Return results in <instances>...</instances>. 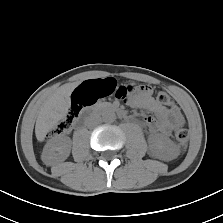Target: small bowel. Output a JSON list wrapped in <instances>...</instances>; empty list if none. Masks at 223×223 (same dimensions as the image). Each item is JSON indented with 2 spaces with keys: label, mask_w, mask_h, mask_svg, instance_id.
<instances>
[{
  "label": "small bowel",
  "mask_w": 223,
  "mask_h": 223,
  "mask_svg": "<svg viewBox=\"0 0 223 223\" xmlns=\"http://www.w3.org/2000/svg\"><path fill=\"white\" fill-rule=\"evenodd\" d=\"M126 102L134 107L152 112L155 117L145 116L144 122L152 135H168L185 123L184 117L177 107H164L154 97L150 87H141Z\"/></svg>",
  "instance_id": "c3829d8e"
}]
</instances>
